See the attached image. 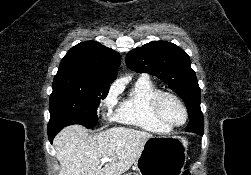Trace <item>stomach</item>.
Instances as JSON below:
<instances>
[{
    "label": "stomach",
    "instance_id": "stomach-1",
    "mask_svg": "<svg viewBox=\"0 0 251 175\" xmlns=\"http://www.w3.org/2000/svg\"><path fill=\"white\" fill-rule=\"evenodd\" d=\"M189 141L181 135H153L146 139L128 175H181Z\"/></svg>",
    "mask_w": 251,
    "mask_h": 175
}]
</instances>
